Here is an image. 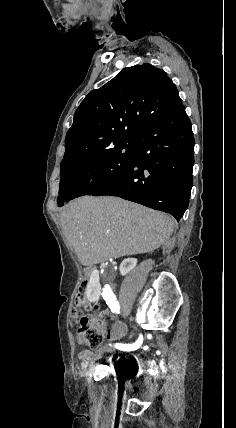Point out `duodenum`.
<instances>
[{
  "label": "duodenum",
  "mask_w": 236,
  "mask_h": 428,
  "mask_svg": "<svg viewBox=\"0 0 236 428\" xmlns=\"http://www.w3.org/2000/svg\"><path fill=\"white\" fill-rule=\"evenodd\" d=\"M91 273H92V268H89V269L87 270V274H88V275H91Z\"/></svg>",
  "instance_id": "410a0bca"
}]
</instances>
